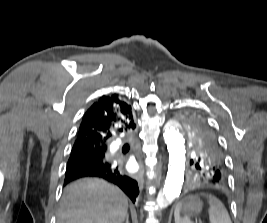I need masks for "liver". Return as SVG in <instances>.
Instances as JSON below:
<instances>
[{
  "label": "liver",
  "instance_id": "1",
  "mask_svg": "<svg viewBox=\"0 0 267 223\" xmlns=\"http://www.w3.org/2000/svg\"><path fill=\"white\" fill-rule=\"evenodd\" d=\"M128 199L116 186L100 179H81L64 189L58 223H123Z\"/></svg>",
  "mask_w": 267,
  "mask_h": 223
}]
</instances>
